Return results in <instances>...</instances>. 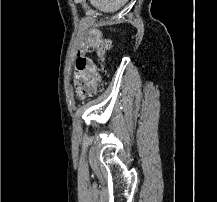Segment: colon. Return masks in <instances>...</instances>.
Segmentation results:
<instances>
[{
  "label": "colon",
  "instance_id": "1",
  "mask_svg": "<svg viewBox=\"0 0 217 202\" xmlns=\"http://www.w3.org/2000/svg\"><path fill=\"white\" fill-rule=\"evenodd\" d=\"M84 41H89L86 45V49H79V54H87L89 52H95L101 56L106 49L112 46V41L107 38H101V34L93 32L90 36H84ZM76 68L71 71V74H75V81L77 86L73 87L74 91H79L81 96L92 95L96 91H99V82L101 79L100 72L95 68L94 61L90 57H83V55H76L74 59Z\"/></svg>",
  "mask_w": 217,
  "mask_h": 202
}]
</instances>
